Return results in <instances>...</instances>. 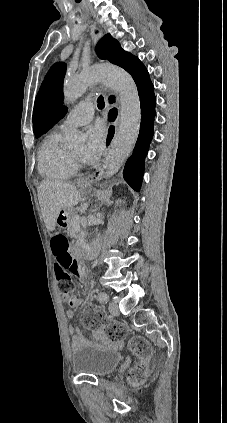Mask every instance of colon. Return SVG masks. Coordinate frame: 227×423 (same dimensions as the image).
<instances>
[{
    "label": "colon",
    "instance_id": "5ec220e1",
    "mask_svg": "<svg viewBox=\"0 0 227 423\" xmlns=\"http://www.w3.org/2000/svg\"><path fill=\"white\" fill-rule=\"evenodd\" d=\"M51 249L55 257V272L62 294H70L74 289V276L77 271V261L70 250V242L62 233H56L51 239ZM83 325L92 330H103L112 338H122L126 334L123 325L105 319L102 311L96 306L87 307L81 316ZM129 349L142 361L141 365L131 371L134 382L146 377L145 362L150 355V346L141 337L129 341Z\"/></svg>",
    "mask_w": 227,
    "mask_h": 423
}]
</instances>
